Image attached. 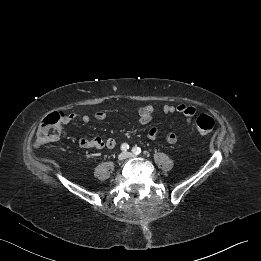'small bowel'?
Returning a JSON list of instances; mask_svg holds the SVG:
<instances>
[{
	"instance_id": "c3829d8e",
	"label": "small bowel",
	"mask_w": 261,
	"mask_h": 261,
	"mask_svg": "<svg viewBox=\"0 0 261 261\" xmlns=\"http://www.w3.org/2000/svg\"><path fill=\"white\" fill-rule=\"evenodd\" d=\"M154 107L151 105L142 106L138 109L139 119L138 123L141 125L149 123L154 116ZM162 112L165 115L174 114L176 112L182 113L188 125L192 124V119L196 113V109L193 106L186 105V104H179L177 106L174 105H164L162 108ZM108 117V114L105 111H97L94 114V118L98 121L105 120ZM70 120H79L82 123H89L91 121V117L87 114L85 115H75L72 114L69 116L68 121ZM147 137L149 140L155 141L159 138H163L168 144H175L177 142V135L174 132H167L165 134H161V132L153 127L149 129L147 132ZM80 147L84 149H102V148H109L113 149L116 147L117 142L114 138H107L102 139L100 137L94 138H81L79 140Z\"/></svg>"
}]
</instances>
